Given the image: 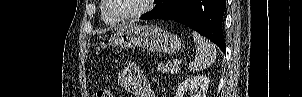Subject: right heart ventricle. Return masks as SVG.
<instances>
[{"instance_id":"1","label":"right heart ventricle","mask_w":302,"mask_h":97,"mask_svg":"<svg viewBox=\"0 0 302 97\" xmlns=\"http://www.w3.org/2000/svg\"><path fill=\"white\" fill-rule=\"evenodd\" d=\"M102 20L106 25H117L119 23L118 20L114 19L107 11V8L104 6L102 8Z\"/></svg>"}]
</instances>
